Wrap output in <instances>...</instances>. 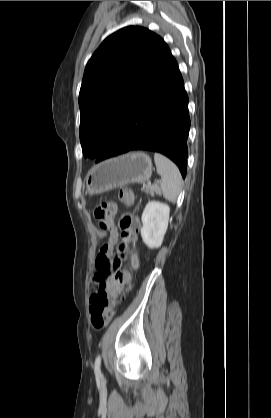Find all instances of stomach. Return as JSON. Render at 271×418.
Instances as JSON below:
<instances>
[{
	"instance_id": "0dacf381",
	"label": "stomach",
	"mask_w": 271,
	"mask_h": 418,
	"mask_svg": "<svg viewBox=\"0 0 271 418\" xmlns=\"http://www.w3.org/2000/svg\"><path fill=\"white\" fill-rule=\"evenodd\" d=\"M152 174L151 158L143 152H132L95 165L86 177L87 191L101 194L130 183H145Z\"/></svg>"
}]
</instances>
